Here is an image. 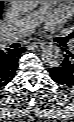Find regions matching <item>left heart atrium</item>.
<instances>
[{
  "label": "left heart atrium",
  "instance_id": "obj_1",
  "mask_svg": "<svg viewBox=\"0 0 74 122\" xmlns=\"http://www.w3.org/2000/svg\"><path fill=\"white\" fill-rule=\"evenodd\" d=\"M56 21H58V18H57V17L50 18V19L46 22V26H47V27H52Z\"/></svg>",
  "mask_w": 74,
  "mask_h": 122
}]
</instances>
